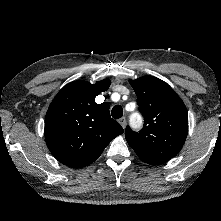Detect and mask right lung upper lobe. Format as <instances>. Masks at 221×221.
<instances>
[{"label": "right lung upper lobe", "mask_w": 221, "mask_h": 221, "mask_svg": "<svg viewBox=\"0 0 221 221\" xmlns=\"http://www.w3.org/2000/svg\"><path fill=\"white\" fill-rule=\"evenodd\" d=\"M109 86L108 79L96 84L74 81L63 87L50 104L45 118V139L62 164L70 167L91 164L124 132L110 117V105L95 103V97Z\"/></svg>", "instance_id": "obj_1"}]
</instances>
